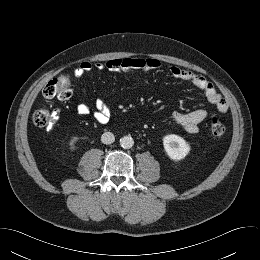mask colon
Here are the masks:
<instances>
[{"label":"colon","mask_w":260,"mask_h":260,"mask_svg":"<svg viewBox=\"0 0 260 260\" xmlns=\"http://www.w3.org/2000/svg\"><path fill=\"white\" fill-rule=\"evenodd\" d=\"M45 98L67 100L72 95V86L67 74H60L50 80L43 89ZM58 113L47 108L38 109L33 115L35 125L41 128H51L56 120ZM209 130L214 138H220L225 133V126L216 117H212L209 122Z\"/></svg>","instance_id":"1"}]
</instances>
